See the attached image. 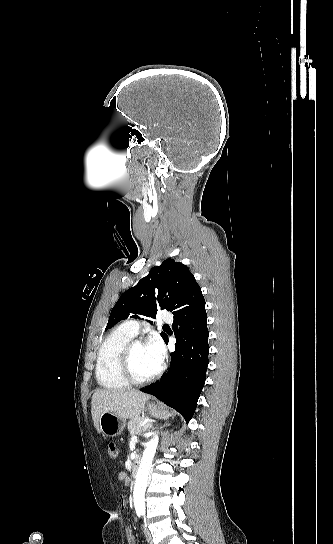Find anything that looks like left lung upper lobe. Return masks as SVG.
<instances>
[{"label":"left lung upper lobe","mask_w":333,"mask_h":544,"mask_svg":"<svg viewBox=\"0 0 333 544\" xmlns=\"http://www.w3.org/2000/svg\"><path fill=\"white\" fill-rule=\"evenodd\" d=\"M201 295V288L189 268L174 259H166L121 295L111 311L106 330L128 317L156 318L159 309L175 314ZM161 336L167 337L163 332Z\"/></svg>","instance_id":"obj_1"}]
</instances>
